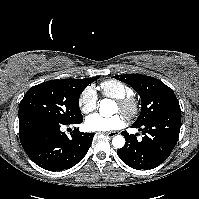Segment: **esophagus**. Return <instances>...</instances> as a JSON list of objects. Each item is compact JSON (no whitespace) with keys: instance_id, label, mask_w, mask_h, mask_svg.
<instances>
[{"instance_id":"34e87169","label":"esophagus","mask_w":199,"mask_h":199,"mask_svg":"<svg viewBox=\"0 0 199 199\" xmlns=\"http://www.w3.org/2000/svg\"><path fill=\"white\" fill-rule=\"evenodd\" d=\"M107 136L112 138L114 137L115 135H117V132H106Z\"/></svg>"}]
</instances>
